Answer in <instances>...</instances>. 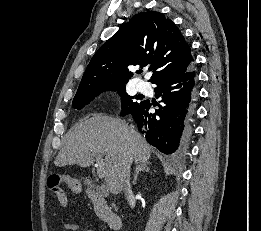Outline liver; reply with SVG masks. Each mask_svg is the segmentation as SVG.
Wrapping results in <instances>:
<instances>
[{
  "label": "liver",
  "instance_id": "1",
  "mask_svg": "<svg viewBox=\"0 0 261 231\" xmlns=\"http://www.w3.org/2000/svg\"><path fill=\"white\" fill-rule=\"evenodd\" d=\"M105 155L106 189L119 194L125 184V176L135 163L148 162L151 147L125 121L109 116L94 114L80 121L69 131L64 146L54 164L58 167L79 165L87 167L93 163V156Z\"/></svg>",
  "mask_w": 261,
  "mask_h": 231
}]
</instances>
